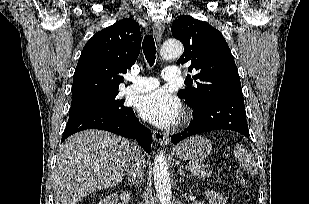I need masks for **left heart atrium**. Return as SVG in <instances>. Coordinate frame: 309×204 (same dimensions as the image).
<instances>
[{"mask_svg":"<svg viewBox=\"0 0 309 204\" xmlns=\"http://www.w3.org/2000/svg\"><path fill=\"white\" fill-rule=\"evenodd\" d=\"M141 117L159 127H169L178 122L181 115L180 102L164 90L141 96L137 102Z\"/></svg>","mask_w":309,"mask_h":204,"instance_id":"39dd6f15","label":"left heart atrium"}]
</instances>
